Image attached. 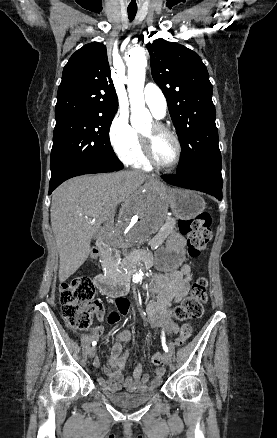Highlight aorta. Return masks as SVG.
I'll list each match as a JSON object with an SVG mask.
<instances>
[{
  "instance_id": "obj_1",
  "label": "aorta",
  "mask_w": 277,
  "mask_h": 438,
  "mask_svg": "<svg viewBox=\"0 0 277 438\" xmlns=\"http://www.w3.org/2000/svg\"><path fill=\"white\" fill-rule=\"evenodd\" d=\"M128 92L131 106V124L138 128L150 122L152 117L145 107L144 82L147 59L144 49L136 46L127 56ZM167 212L164 196L157 190L148 188L138 193L121 215L111 237L114 248L128 254L145 243L162 225ZM140 270L133 281L142 280Z\"/></svg>"
}]
</instances>
